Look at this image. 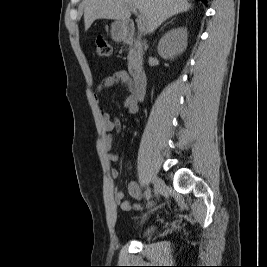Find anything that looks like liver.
<instances>
[{
    "instance_id": "6515ba94",
    "label": "liver",
    "mask_w": 267,
    "mask_h": 267,
    "mask_svg": "<svg viewBox=\"0 0 267 267\" xmlns=\"http://www.w3.org/2000/svg\"><path fill=\"white\" fill-rule=\"evenodd\" d=\"M85 30L97 19L125 21L131 16V7L145 17L149 33L154 32L170 17L192 8L188 0H83Z\"/></svg>"
}]
</instances>
